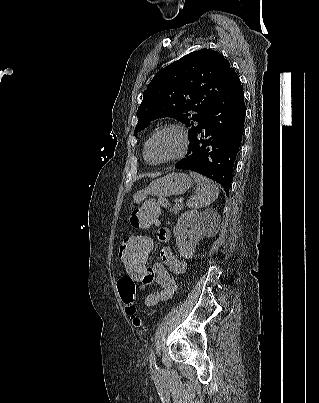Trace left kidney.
I'll return each instance as SVG.
<instances>
[{
    "label": "left kidney",
    "mask_w": 319,
    "mask_h": 403,
    "mask_svg": "<svg viewBox=\"0 0 319 403\" xmlns=\"http://www.w3.org/2000/svg\"><path fill=\"white\" fill-rule=\"evenodd\" d=\"M217 213L213 209L203 212L189 210L183 213L174 227V236L178 252L185 258H191L195 252L198 242L202 239L205 228L213 221Z\"/></svg>",
    "instance_id": "left-kidney-1"
}]
</instances>
